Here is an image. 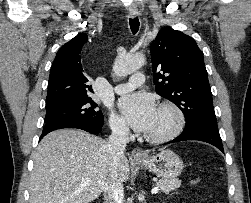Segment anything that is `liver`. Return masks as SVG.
I'll list each match as a JSON object with an SVG mask.
<instances>
[{"label": "liver", "instance_id": "6515ba94", "mask_svg": "<svg viewBox=\"0 0 251 203\" xmlns=\"http://www.w3.org/2000/svg\"><path fill=\"white\" fill-rule=\"evenodd\" d=\"M107 144L81 130H57L45 136L34 154L29 203H90L111 175L126 182L128 159L123 156L113 167Z\"/></svg>", "mask_w": 251, "mask_h": 203}]
</instances>
